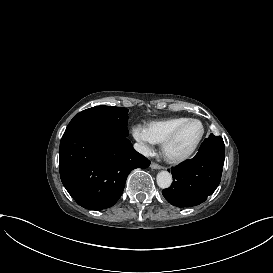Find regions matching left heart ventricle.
<instances>
[{
    "label": "left heart ventricle",
    "mask_w": 273,
    "mask_h": 273,
    "mask_svg": "<svg viewBox=\"0 0 273 273\" xmlns=\"http://www.w3.org/2000/svg\"><path fill=\"white\" fill-rule=\"evenodd\" d=\"M203 132V125L199 121H192L186 124L171 146V153L176 155L188 152Z\"/></svg>",
    "instance_id": "obj_1"
}]
</instances>
